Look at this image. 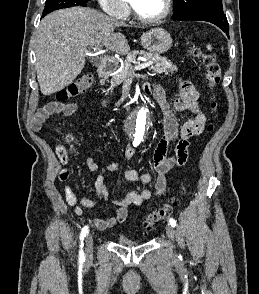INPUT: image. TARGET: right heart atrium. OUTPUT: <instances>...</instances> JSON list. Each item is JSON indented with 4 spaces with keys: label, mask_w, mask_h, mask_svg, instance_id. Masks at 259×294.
Instances as JSON below:
<instances>
[{
    "label": "right heart atrium",
    "mask_w": 259,
    "mask_h": 294,
    "mask_svg": "<svg viewBox=\"0 0 259 294\" xmlns=\"http://www.w3.org/2000/svg\"><path fill=\"white\" fill-rule=\"evenodd\" d=\"M102 9L110 16L117 19H125L130 13L126 0H98Z\"/></svg>",
    "instance_id": "right-heart-atrium-1"
}]
</instances>
